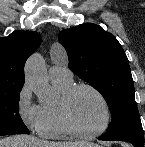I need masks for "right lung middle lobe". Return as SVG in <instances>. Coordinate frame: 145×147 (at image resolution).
I'll list each match as a JSON object with an SVG mask.
<instances>
[{"label": "right lung middle lobe", "mask_w": 145, "mask_h": 147, "mask_svg": "<svg viewBox=\"0 0 145 147\" xmlns=\"http://www.w3.org/2000/svg\"><path fill=\"white\" fill-rule=\"evenodd\" d=\"M21 89L0 91V136L30 133L18 112Z\"/></svg>", "instance_id": "1"}]
</instances>
